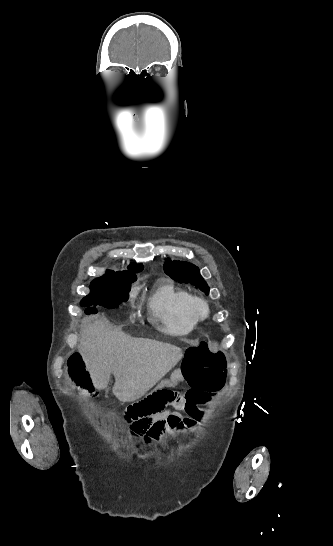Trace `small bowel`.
I'll use <instances>...</instances> for the list:
<instances>
[{
    "mask_svg": "<svg viewBox=\"0 0 333 546\" xmlns=\"http://www.w3.org/2000/svg\"><path fill=\"white\" fill-rule=\"evenodd\" d=\"M179 370H174L169 378H159L154 387L149 390L154 393H160L163 389L175 388L177 381H182L186 377ZM218 391L200 393L196 400L187 402L185 409L189 417L184 418L180 414L163 410L158 412L154 418H147L145 422H136L134 418H128L130 434L133 437L143 438L146 445L156 443L164 433L176 434L183 433L186 430L195 428L196 424L203 418V412L199 410L196 404H205L217 396Z\"/></svg>",
    "mask_w": 333,
    "mask_h": 546,
    "instance_id": "c3829d8e",
    "label": "small bowel"
}]
</instances>
